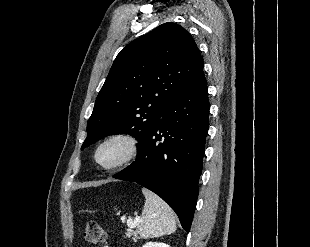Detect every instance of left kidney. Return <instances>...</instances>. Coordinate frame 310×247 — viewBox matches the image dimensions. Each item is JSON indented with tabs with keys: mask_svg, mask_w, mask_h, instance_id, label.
Segmentation results:
<instances>
[{
	"mask_svg": "<svg viewBox=\"0 0 310 247\" xmlns=\"http://www.w3.org/2000/svg\"><path fill=\"white\" fill-rule=\"evenodd\" d=\"M142 247H170V246L168 244H165V243L147 242Z\"/></svg>",
	"mask_w": 310,
	"mask_h": 247,
	"instance_id": "1",
	"label": "left kidney"
}]
</instances>
